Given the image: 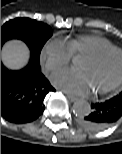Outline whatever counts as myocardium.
Wrapping results in <instances>:
<instances>
[{
  "label": "myocardium",
  "mask_w": 122,
  "mask_h": 154,
  "mask_svg": "<svg viewBox=\"0 0 122 154\" xmlns=\"http://www.w3.org/2000/svg\"><path fill=\"white\" fill-rule=\"evenodd\" d=\"M112 53H119L122 55V49L118 48V47H110V48H106V49L97 51L95 53L88 54V55H86V57L89 59H92L94 61H100ZM121 85H122V72L116 81H114L111 85H109L101 90L96 91V94L103 95V94L109 93V92L119 88Z\"/></svg>",
  "instance_id": "myocardium-1"
}]
</instances>
